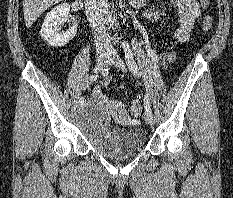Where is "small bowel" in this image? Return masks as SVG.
Segmentation results:
<instances>
[{
  "label": "small bowel",
  "mask_w": 233,
  "mask_h": 198,
  "mask_svg": "<svg viewBox=\"0 0 233 198\" xmlns=\"http://www.w3.org/2000/svg\"><path fill=\"white\" fill-rule=\"evenodd\" d=\"M171 3L177 10V30H176V38L179 41H186L191 33L193 32L196 21L200 14V8L197 4L196 0H171ZM145 16L151 20H157L159 18L167 19V15L163 12L156 11H147ZM173 53H164L157 59L160 60L162 64H166L173 59ZM110 79L107 78L103 81L101 86L94 88L92 95L95 100L98 102H109L114 112L122 116L124 115V109L122 105L117 101H108L106 98L103 88L107 87Z\"/></svg>",
  "instance_id": "obj_1"
}]
</instances>
